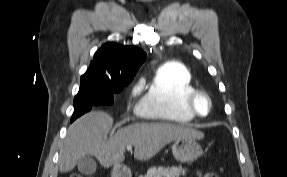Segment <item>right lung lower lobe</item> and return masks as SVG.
Here are the masks:
<instances>
[{"label":"right lung lower lobe","instance_id":"right-lung-lower-lobe-1","mask_svg":"<svg viewBox=\"0 0 287 177\" xmlns=\"http://www.w3.org/2000/svg\"><path fill=\"white\" fill-rule=\"evenodd\" d=\"M93 106H81V107H77L75 108L74 112H76L78 114V117L81 116L82 114L88 112L91 110Z\"/></svg>","mask_w":287,"mask_h":177}]
</instances>
